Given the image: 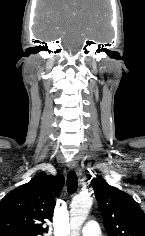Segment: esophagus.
Listing matches in <instances>:
<instances>
[{
	"instance_id": "34e87169",
	"label": "esophagus",
	"mask_w": 145,
	"mask_h": 236,
	"mask_svg": "<svg viewBox=\"0 0 145 236\" xmlns=\"http://www.w3.org/2000/svg\"><path fill=\"white\" fill-rule=\"evenodd\" d=\"M68 167H69L70 170H74V171L77 173V175H78L79 177L82 176L81 169H80V167H79V165H78V162H77L76 160H71V161L68 163Z\"/></svg>"
}]
</instances>
